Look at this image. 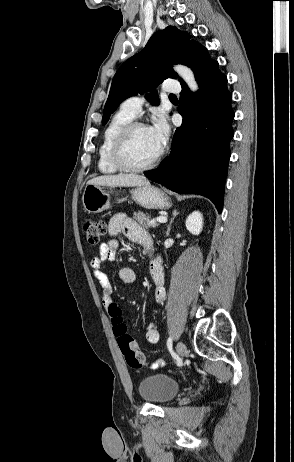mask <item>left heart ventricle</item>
<instances>
[{
  "mask_svg": "<svg viewBox=\"0 0 294 462\" xmlns=\"http://www.w3.org/2000/svg\"><path fill=\"white\" fill-rule=\"evenodd\" d=\"M158 149L149 128L137 129L127 146V159L133 165H144L155 158Z\"/></svg>",
  "mask_w": 294,
  "mask_h": 462,
  "instance_id": "obj_1",
  "label": "left heart ventricle"
}]
</instances>
